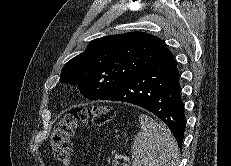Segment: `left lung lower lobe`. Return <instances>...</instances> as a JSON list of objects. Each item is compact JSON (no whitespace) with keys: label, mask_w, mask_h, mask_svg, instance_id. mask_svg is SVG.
Masks as SVG:
<instances>
[{"label":"left lung lower lobe","mask_w":231,"mask_h":166,"mask_svg":"<svg viewBox=\"0 0 231 166\" xmlns=\"http://www.w3.org/2000/svg\"><path fill=\"white\" fill-rule=\"evenodd\" d=\"M100 99L128 102L154 113L168 125L181 147L185 130L184 105L178 69L168 48Z\"/></svg>","instance_id":"1"}]
</instances>
